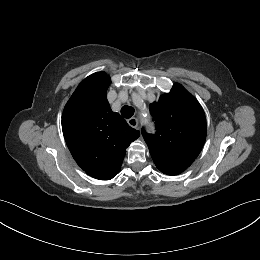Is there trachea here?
I'll return each instance as SVG.
<instances>
[{"instance_id": "3493384b", "label": "trachea", "mask_w": 260, "mask_h": 260, "mask_svg": "<svg viewBox=\"0 0 260 260\" xmlns=\"http://www.w3.org/2000/svg\"><path fill=\"white\" fill-rule=\"evenodd\" d=\"M121 114L124 118H131L134 114V108L128 105H125L121 108Z\"/></svg>"}]
</instances>
